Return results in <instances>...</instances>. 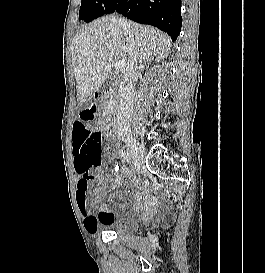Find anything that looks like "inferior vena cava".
Returning <instances> with one entry per match:
<instances>
[{"instance_id":"1","label":"inferior vena cava","mask_w":265,"mask_h":273,"mask_svg":"<svg viewBox=\"0 0 265 273\" xmlns=\"http://www.w3.org/2000/svg\"><path fill=\"white\" fill-rule=\"evenodd\" d=\"M118 22L127 40L129 54L128 64L124 70V79L120 86V97L116 118L117 133L122 136L130 133V122L133 114L135 96L134 80L136 78L139 56L134 35L130 30L128 21L119 19Z\"/></svg>"}]
</instances>
